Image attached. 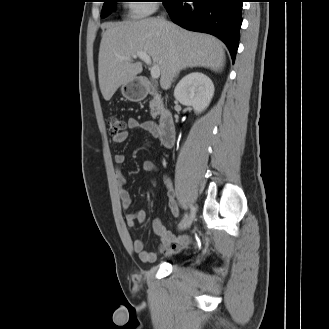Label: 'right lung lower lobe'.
<instances>
[{"instance_id": "right-lung-lower-lobe-1", "label": "right lung lower lobe", "mask_w": 329, "mask_h": 329, "mask_svg": "<svg viewBox=\"0 0 329 329\" xmlns=\"http://www.w3.org/2000/svg\"><path fill=\"white\" fill-rule=\"evenodd\" d=\"M242 2L243 0H167L164 6L171 20L179 26L221 39L234 61L242 24Z\"/></svg>"}]
</instances>
